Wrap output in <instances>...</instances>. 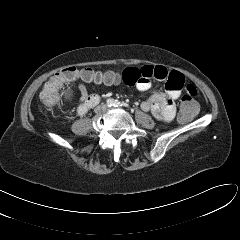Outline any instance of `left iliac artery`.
I'll use <instances>...</instances> for the list:
<instances>
[{
  "instance_id": "1",
  "label": "left iliac artery",
  "mask_w": 240,
  "mask_h": 240,
  "mask_svg": "<svg viewBox=\"0 0 240 240\" xmlns=\"http://www.w3.org/2000/svg\"><path fill=\"white\" fill-rule=\"evenodd\" d=\"M115 107H120V106H124L125 104L123 102H120L118 100H115L114 101V104H113Z\"/></svg>"
}]
</instances>
